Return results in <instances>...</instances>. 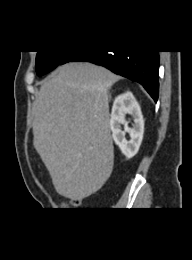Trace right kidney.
Listing matches in <instances>:
<instances>
[{
  "instance_id": "right-kidney-1",
  "label": "right kidney",
  "mask_w": 192,
  "mask_h": 260,
  "mask_svg": "<svg viewBox=\"0 0 192 260\" xmlns=\"http://www.w3.org/2000/svg\"><path fill=\"white\" fill-rule=\"evenodd\" d=\"M126 114L133 117L134 124L132 128L128 127L125 119ZM124 125V131L121 130ZM110 128L112 137L116 145L127 158L135 156L139 150L144 133V120L135 97L131 92L119 95L113 103L110 119ZM128 133L130 139L125 138Z\"/></svg>"
}]
</instances>
